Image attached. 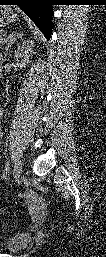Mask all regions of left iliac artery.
<instances>
[{
    "instance_id": "44dca946",
    "label": "left iliac artery",
    "mask_w": 106,
    "mask_h": 257,
    "mask_svg": "<svg viewBox=\"0 0 106 257\" xmlns=\"http://www.w3.org/2000/svg\"><path fill=\"white\" fill-rule=\"evenodd\" d=\"M9 167H10V162L7 161L6 166H5L6 173H7V171H9Z\"/></svg>"
}]
</instances>
